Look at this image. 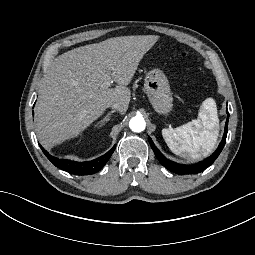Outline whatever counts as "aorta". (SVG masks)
Instances as JSON below:
<instances>
[{
    "label": "aorta",
    "mask_w": 255,
    "mask_h": 255,
    "mask_svg": "<svg viewBox=\"0 0 255 255\" xmlns=\"http://www.w3.org/2000/svg\"><path fill=\"white\" fill-rule=\"evenodd\" d=\"M129 127L134 132H142L146 127L144 118L141 116L131 118Z\"/></svg>",
    "instance_id": "aorta-1"
}]
</instances>
